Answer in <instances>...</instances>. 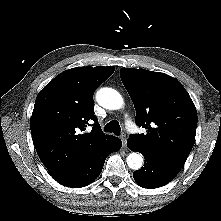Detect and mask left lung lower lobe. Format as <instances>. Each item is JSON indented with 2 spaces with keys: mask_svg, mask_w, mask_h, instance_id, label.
I'll return each instance as SVG.
<instances>
[{
  "mask_svg": "<svg viewBox=\"0 0 221 221\" xmlns=\"http://www.w3.org/2000/svg\"><path fill=\"white\" fill-rule=\"evenodd\" d=\"M127 145L130 150L140 152L145 158L144 167L133 173L136 183L143 188L161 187L172 181L181 169L161 160L133 141L127 140Z\"/></svg>",
  "mask_w": 221,
  "mask_h": 221,
  "instance_id": "obj_1",
  "label": "left lung lower lobe"
}]
</instances>
